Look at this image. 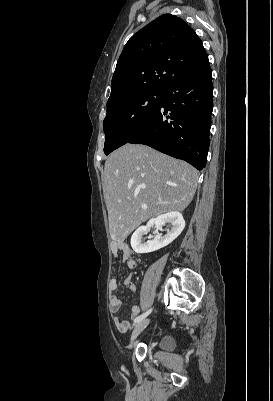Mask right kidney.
<instances>
[{
    "instance_id": "ca27d5eb",
    "label": "right kidney",
    "mask_w": 273,
    "mask_h": 401,
    "mask_svg": "<svg viewBox=\"0 0 273 401\" xmlns=\"http://www.w3.org/2000/svg\"><path fill=\"white\" fill-rule=\"evenodd\" d=\"M170 223L172 225L170 231H167V235L162 237L161 233H157L153 241H147V243H142V235L148 233L151 227H156V229H162L163 225ZM185 227V221L178 211H172V213H166V215H159L157 219H150L146 227H139L131 237V247L135 253H153V251H158V249H163L170 245L180 233H182Z\"/></svg>"
}]
</instances>
